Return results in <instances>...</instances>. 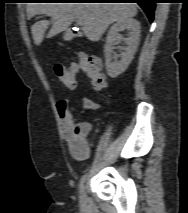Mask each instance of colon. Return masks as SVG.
Listing matches in <instances>:
<instances>
[{
    "label": "colon",
    "instance_id": "1",
    "mask_svg": "<svg viewBox=\"0 0 188 213\" xmlns=\"http://www.w3.org/2000/svg\"><path fill=\"white\" fill-rule=\"evenodd\" d=\"M54 71L57 77L71 89L77 86L76 73L79 71L90 79L94 90L102 91L106 88V77L100 71V64L97 60L86 55H80L78 60L70 66L57 63L54 65Z\"/></svg>",
    "mask_w": 188,
    "mask_h": 213
}]
</instances>
